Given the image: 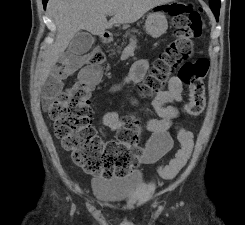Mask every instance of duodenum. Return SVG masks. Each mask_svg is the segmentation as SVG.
Here are the masks:
<instances>
[{
    "label": "duodenum",
    "mask_w": 245,
    "mask_h": 225,
    "mask_svg": "<svg viewBox=\"0 0 245 225\" xmlns=\"http://www.w3.org/2000/svg\"><path fill=\"white\" fill-rule=\"evenodd\" d=\"M111 35L109 32H103L98 36V40L101 44H106L110 41Z\"/></svg>",
    "instance_id": "obj_1"
}]
</instances>
